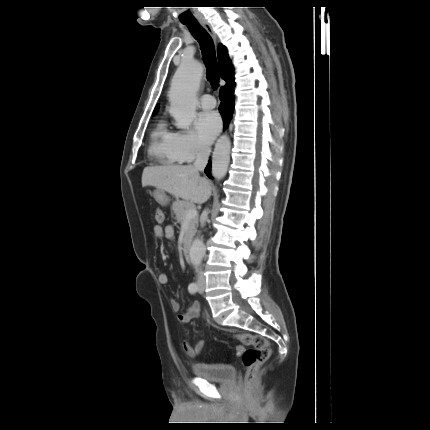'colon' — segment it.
Wrapping results in <instances>:
<instances>
[{
  "label": "colon",
  "instance_id": "5ec220e1",
  "mask_svg": "<svg viewBox=\"0 0 430 430\" xmlns=\"http://www.w3.org/2000/svg\"><path fill=\"white\" fill-rule=\"evenodd\" d=\"M155 220L157 223L164 221V213L161 209L155 210ZM234 337L249 347L243 349L241 346H237L236 353L242 355L243 364L246 368L245 383L250 386L254 382L259 368L270 356L269 342L266 338L251 333L235 334Z\"/></svg>",
  "mask_w": 430,
  "mask_h": 430
}]
</instances>
